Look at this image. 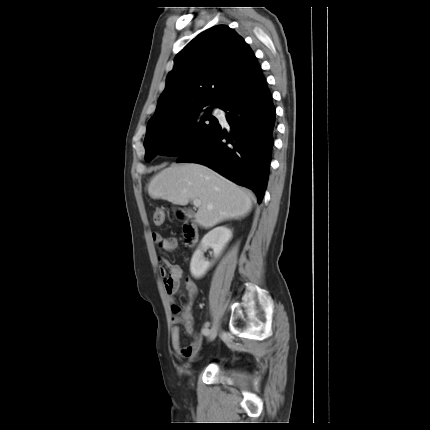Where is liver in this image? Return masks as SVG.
Returning <instances> with one entry per match:
<instances>
[{
    "label": "liver",
    "instance_id": "1",
    "mask_svg": "<svg viewBox=\"0 0 430 430\" xmlns=\"http://www.w3.org/2000/svg\"><path fill=\"white\" fill-rule=\"evenodd\" d=\"M147 189L153 199L182 206L200 199L195 221L206 229L224 220L244 217L252 208L253 195L249 191L197 163L162 170L150 180Z\"/></svg>",
    "mask_w": 430,
    "mask_h": 430
}]
</instances>
